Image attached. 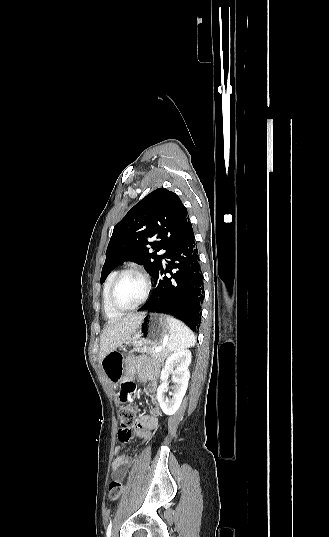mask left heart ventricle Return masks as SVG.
<instances>
[{"label":"left heart ventricle","mask_w":329,"mask_h":537,"mask_svg":"<svg viewBox=\"0 0 329 537\" xmlns=\"http://www.w3.org/2000/svg\"><path fill=\"white\" fill-rule=\"evenodd\" d=\"M144 291L143 279L134 273L127 274L122 277L117 286L115 301L121 307H131L141 299Z\"/></svg>","instance_id":"b2bd125f"}]
</instances>
